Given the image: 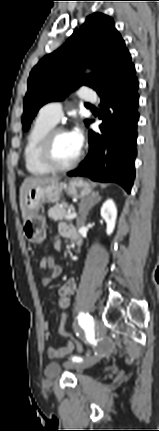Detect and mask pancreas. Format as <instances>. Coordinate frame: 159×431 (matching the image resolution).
Segmentation results:
<instances>
[{"label":"pancreas","instance_id":"1","mask_svg":"<svg viewBox=\"0 0 159 431\" xmlns=\"http://www.w3.org/2000/svg\"><path fill=\"white\" fill-rule=\"evenodd\" d=\"M67 208H70L72 211H74V207L68 206V204L65 202L56 204L48 210V216L53 221L63 220L68 214Z\"/></svg>","mask_w":159,"mask_h":431}]
</instances>
